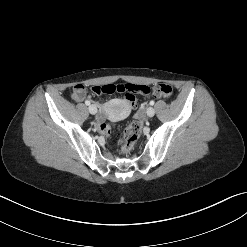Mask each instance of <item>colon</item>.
Instances as JSON below:
<instances>
[{
  "label": "colon",
  "instance_id": "obj_1",
  "mask_svg": "<svg viewBox=\"0 0 247 247\" xmlns=\"http://www.w3.org/2000/svg\"><path fill=\"white\" fill-rule=\"evenodd\" d=\"M87 88L83 84H78L73 89V94L81 96L86 94ZM92 91L97 94H113L115 92H121L126 94L125 105L132 110L138 109V100L135 93L142 94L144 96L153 95L155 98L168 99L172 95V87L166 83H159L153 87L146 85H135V84H105L92 87ZM100 130L108 134L110 133V126L108 124H102ZM142 131L141 114L138 115L137 119L133 121L123 131L121 137L118 140V145L123 152H129L134 147Z\"/></svg>",
  "mask_w": 247,
  "mask_h": 247
}]
</instances>
